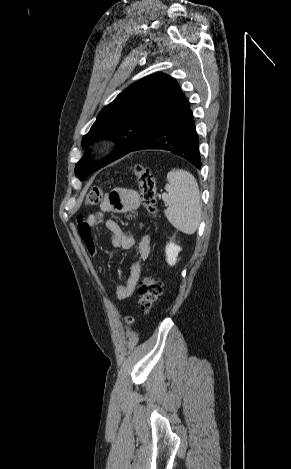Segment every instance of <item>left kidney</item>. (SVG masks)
I'll list each match as a JSON object with an SVG mask.
<instances>
[{
    "mask_svg": "<svg viewBox=\"0 0 291 469\" xmlns=\"http://www.w3.org/2000/svg\"><path fill=\"white\" fill-rule=\"evenodd\" d=\"M181 251L180 246L176 245L174 242L167 244L165 248L166 261L170 266H173L177 262L178 253Z\"/></svg>",
    "mask_w": 291,
    "mask_h": 469,
    "instance_id": "1",
    "label": "left kidney"
}]
</instances>
